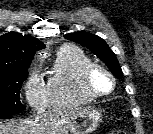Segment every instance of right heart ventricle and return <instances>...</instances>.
<instances>
[{"mask_svg":"<svg viewBox=\"0 0 153 134\" xmlns=\"http://www.w3.org/2000/svg\"><path fill=\"white\" fill-rule=\"evenodd\" d=\"M91 59L79 48L64 46L56 54L52 70L44 83L46 106H79L93 100L81 88L80 75Z\"/></svg>","mask_w":153,"mask_h":134,"instance_id":"obj_1","label":"right heart ventricle"}]
</instances>
